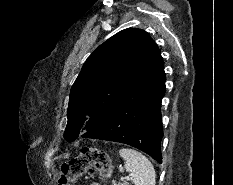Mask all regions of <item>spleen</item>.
Instances as JSON below:
<instances>
[{
  "mask_svg": "<svg viewBox=\"0 0 233 185\" xmlns=\"http://www.w3.org/2000/svg\"><path fill=\"white\" fill-rule=\"evenodd\" d=\"M119 154L125 161L126 171L131 173L134 185L156 184L154 167L146 156L131 148H122Z\"/></svg>",
  "mask_w": 233,
  "mask_h": 185,
  "instance_id": "obj_1",
  "label": "spleen"
}]
</instances>
